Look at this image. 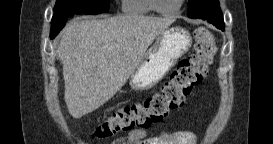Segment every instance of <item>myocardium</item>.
Here are the masks:
<instances>
[{"label":"myocardium","mask_w":273,"mask_h":144,"mask_svg":"<svg viewBox=\"0 0 273 144\" xmlns=\"http://www.w3.org/2000/svg\"><path fill=\"white\" fill-rule=\"evenodd\" d=\"M184 1L185 0H179L178 5L175 8L169 9V10H164V9L160 8V6H159V0H150V7H151V9L153 11H155L158 14H161V15H173V14L177 13L181 9Z\"/></svg>","instance_id":"obj_1"}]
</instances>
